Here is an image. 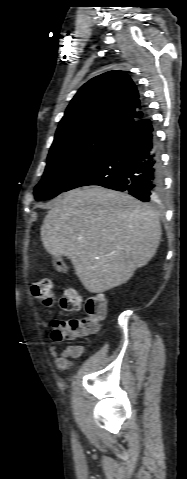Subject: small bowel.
<instances>
[{
	"label": "small bowel",
	"mask_w": 187,
	"mask_h": 479,
	"mask_svg": "<svg viewBox=\"0 0 187 479\" xmlns=\"http://www.w3.org/2000/svg\"><path fill=\"white\" fill-rule=\"evenodd\" d=\"M57 320L51 322L53 327L58 325ZM49 354L52 357L54 364L57 369L59 370H67L73 365V360L81 357L83 354L86 353V349L77 344H69L65 346L61 352H57L55 346L49 347Z\"/></svg>",
	"instance_id": "c3829d8e"
}]
</instances>
